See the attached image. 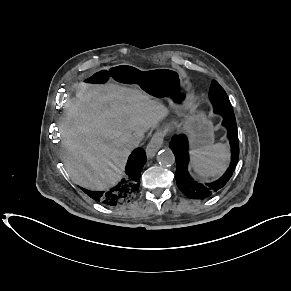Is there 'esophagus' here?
I'll return each instance as SVG.
<instances>
[{"mask_svg":"<svg viewBox=\"0 0 291 291\" xmlns=\"http://www.w3.org/2000/svg\"><path fill=\"white\" fill-rule=\"evenodd\" d=\"M163 137H164V133L162 131H157L153 135L151 141L146 147V154L148 158L154 157L157 151L162 147Z\"/></svg>","mask_w":291,"mask_h":291,"instance_id":"obj_1","label":"esophagus"}]
</instances>
